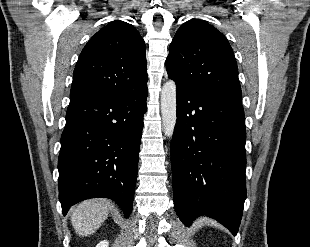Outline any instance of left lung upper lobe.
<instances>
[{
	"label": "left lung upper lobe",
	"mask_w": 310,
	"mask_h": 247,
	"mask_svg": "<svg viewBox=\"0 0 310 247\" xmlns=\"http://www.w3.org/2000/svg\"><path fill=\"white\" fill-rule=\"evenodd\" d=\"M176 84L241 103V87L233 50L222 33L199 19L180 26L166 59Z\"/></svg>",
	"instance_id": "5c2ea615"
}]
</instances>
